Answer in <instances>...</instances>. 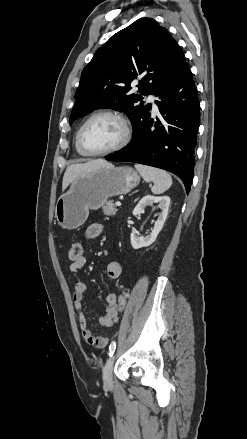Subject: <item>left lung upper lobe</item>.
<instances>
[{
	"instance_id": "obj_1",
	"label": "left lung upper lobe",
	"mask_w": 247,
	"mask_h": 439,
	"mask_svg": "<svg viewBox=\"0 0 247 439\" xmlns=\"http://www.w3.org/2000/svg\"><path fill=\"white\" fill-rule=\"evenodd\" d=\"M185 56L166 28L141 18L114 34L83 69L70 124L95 109L124 111L133 133L150 117L143 95H156L186 65ZM137 84L140 94L131 93Z\"/></svg>"
}]
</instances>
